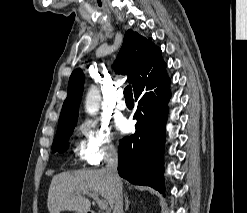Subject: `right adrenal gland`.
I'll return each mask as SVG.
<instances>
[{
    "label": "right adrenal gland",
    "instance_id": "obj_1",
    "mask_svg": "<svg viewBox=\"0 0 247 213\" xmlns=\"http://www.w3.org/2000/svg\"><path fill=\"white\" fill-rule=\"evenodd\" d=\"M124 199H125V211H127L130 204L127 193L124 195Z\"/></svg>",
    "mask_w": 247,
    "mask_h": 213
}]
</instances>
